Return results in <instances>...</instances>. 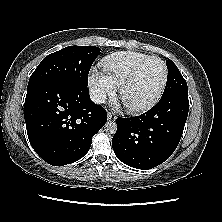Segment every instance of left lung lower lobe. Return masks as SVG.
Returning <instances> with one entry per match:
<instances>
[{
  "mask_svg": "<svg viewBox=\"0 0 222 222\" xmlns=\"http://www.w3.org/2000/svg\"><path fill=\"white\" fill-rule=\"evenodd\" d=\"M189 110L188 93L162 96L149 111L117 118L112 139L116 156L128 166L151 169L166 161L176 149Z\"/></svg>",
  "mask_w": 222,
  "mask_h": 222,
  "instance_id": "left-lung-lower-lobe-1",
  "label": "left lung lower lobe"
}]
</instances>
